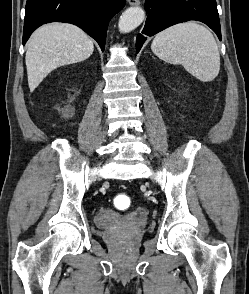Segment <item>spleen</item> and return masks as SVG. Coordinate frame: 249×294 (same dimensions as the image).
Returning a JSON list of instances; mask_svg holds the SVG:
<instances>
[{
  "instance_id": "3e777b00",
  "label": "spleen",
  "mask_w": 249,
  "mask_h": 294,
  "mask_svg": "<svg viewBox=\"0 0 249 294\" xmlns=\"http://www.w3.org/2000/svg\"><path fill=\"white\" fill-rule=\"evenodd\" d=\"M151 49L163 61L183 65L202 82L212 81L220 70L215 38L206 27L193 21L173 25L158 33Z\"/></svg>"
}]
</instances>
